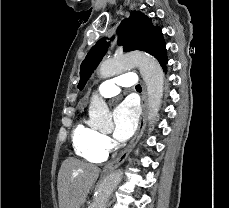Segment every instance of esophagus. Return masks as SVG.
Segmentation results:
<instances>
[{"instance_id": "esophagus-1", "label": "esophagus", "mask_w": 229, "mask_h": 208, "mask_svg": "<svg viewBox=\"0 0 229 208\" xmlns=\"http://www.w3.org/2000/svg\"><path fill=\"white\" fill-rule=\"evenodd\" d=\"M141 106H142V114L139 120L137 131L132 138V140L129 142V144L126 146V148L120 153L118 157H116L114 160L109 162L104 167V173H110L112 171H115L116 168H118L129 156L133 148H135L136 144L140 140L141 136L143 135V132L145 130L146 122H147V116H148V107H147V95H146V85L143 84V91L141 96Z\"/></svg>"}]
</instances>
